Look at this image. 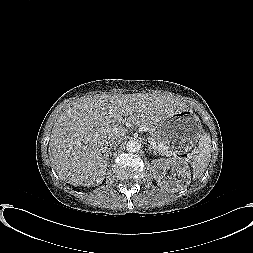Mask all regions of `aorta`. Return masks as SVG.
Masks as SVG:
<instances>
[{
	"label": "aorta",
	"instance_id": "1",
	"mask_svg": "<svg viewBox=\"0 0 253 253\" xmlns=\"http://www.w3.org/2000/svg\"><path fill=\"white\" fill-rule=\"evenodd\" d=\"M126 150L130 153H135L140 150V144L137 141L131 140L126 144Z\"/></svg>",
	"mask_w": 253,
	"mask_h": 253
}]
</instances>
